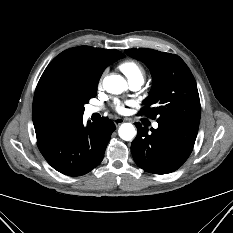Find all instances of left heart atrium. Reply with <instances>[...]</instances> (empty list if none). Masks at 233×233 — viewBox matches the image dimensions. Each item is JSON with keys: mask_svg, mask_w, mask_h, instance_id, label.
I'll list each match as a JSON object with an SVG mask.
<instances>
[{"mask_svg": "<svg viewBox=\"0 0 233 233\" xmlns=\"http://www.w3.org/2000/svg\"><path fill=\"white\" fill-rule=\"evenodd\" d=\"M114 109L118 112V113H125L126 111V104L121 102V101H115L114 103Z\"/></svg>", "mask_w": 233, "mask_h": 233, "instance_id": "1", "label": "left heart atrium"}]
</instances>
